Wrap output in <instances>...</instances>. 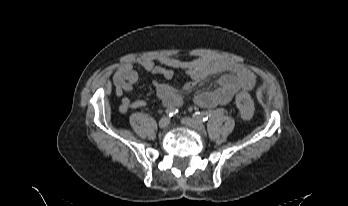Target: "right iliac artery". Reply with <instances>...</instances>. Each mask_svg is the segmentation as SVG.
<instances>
[{
	"mask_svg": "<svg viewBox=\"0 0 348 206\" xmlns=\"http://www.w3.org/2000/svg\"><path fill=\"white\" fill-rule=\"evenodd\" d=\"M165 112L167 116L172 117L178 113V109L170 107V108H167Z\"/></svg>",
	"mask_w": 348,
	"mask_h": 206,
	"instance_id": "82829eb1",
	"label": "right iliac artery"
}]
</instances>
